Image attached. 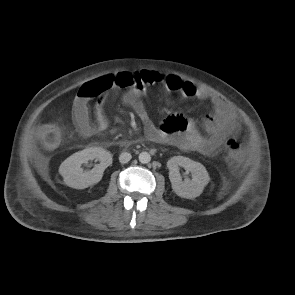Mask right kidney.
I'll return each instance as SVG.
<instances>
[{"label": "right kidney", "mask_w": 295, "mask_h": 295, "mask_svg": "<svg viewBox=\"0 0 295 295\" xmlns=\"http://www.w3.org/2000/svg\"><path fill=\"white\" fill-rule=\"evenodd\" d=\"M97 159L99 164L87 172H83L81 165L89 160ZM112 164V155L101 147H90L76 152L68 157L59 167L67 186L75 189H84L98 183L104 170Z\"/></svg>", "instance_id": "ca27d5eb"}]
</instances>
